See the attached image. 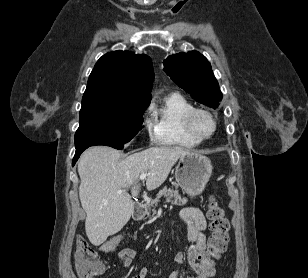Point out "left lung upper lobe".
Instances as JSON below:
<instances>
[{
    "mask_svg": "<svg viewBox=\"0 0 308 278\" xmlns=\"http://www.w3.org/2000/svg\"><path fill=\"white\" fill-rule=\"evenodd\" d=\"M164 71L196 101L217 108L223 95L206 57L197 51L178 53L164 61Z\"/></svg>",
    "mask_w": 308,
    "mask_h": 278,
    "instance_id": "5c2ea615",
    "label": "left lung upper lobe"
}]
</instances>
